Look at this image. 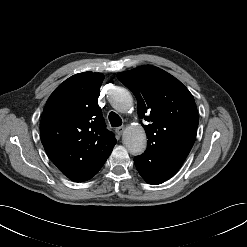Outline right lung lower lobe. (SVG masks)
<instances>
[{
	"label": "right lung lower lobe",
	"mask_w": 247,
	"mask_h": 247,
	"mask_svg": "<svg viewBox=\"0 0 247 247\" xmlns=\"http://www.w3.org/2000/svg\"><path fill=\"white\" fill-rule=\"evenodd\" d=\"M104 163L105 162L97 165L96 167H94L93 169H91L87 172H84V173L79 174L77 176L71 177L70 179L73 181H76V182H81V181H85L87 179H90L101 169V167L103 166Z\"/></svg>",
	"instance_id": "obj_1"
}]
</instances>
